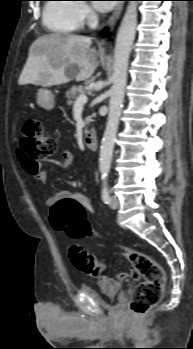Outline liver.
Wrapping results in <instances>:
<instances>
[{"mask_svg":"<svg viewBox=\"0 0 193 349\" xmlns=\"http://www.w3.org/2000/svg\"><path fill=\"white\" fill-rule=\"evenodd\" d=\"M91 38L53 33L38 37L30 46L28 59L20 74V85L44 87L61 85L71 79L68 67L77 66L76 81L87 80L97 68V51Z\"/></svg>","mask_w":193,"mask_h":349,"instance_id":"liver-1","label":"liver"}]
</instances>
